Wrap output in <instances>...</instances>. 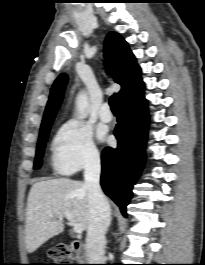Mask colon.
Wrapping results in <instances>:
<instances>
[{
    "label": "colon",
    "instance_id": "colon-1",
    "mask_svg": "<svg viewBox=\"0 0 205 265\" xmlns=\"http://www.w3.org/2000/svg\"><path fill=\"white\" fill-rule=\"evenodd\" d=\"M48 257L55 263L52 265H69L73 254L68 246L58 245L49 250Z\"/></svg>",
    "mask_w": 205,
    "mask_h": 265
}]
</instances>
